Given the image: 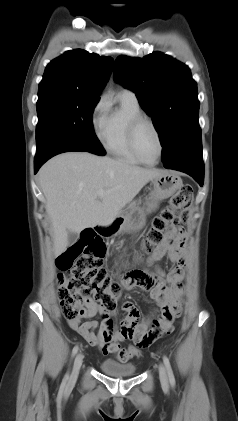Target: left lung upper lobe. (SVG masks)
I'll return each instance as SVG.
<instances>
[{"label":"left lung upper lobe","instance_id":"5c2ea615","mask_svg":"<svg viewBox=\"0 0 238 421\" xmlns=\"http://www.w3.org/2000/svg\"><path fill=\"white\" fill-rule=\"evenodd\" d=\"M114 73L116 80L136 93L152 117L163 147V163L201 136L197 84L186 65L153 52L142 59L118 57Z\"/></svg>","mask_w":238,"mask_h":421}]
</instances>
